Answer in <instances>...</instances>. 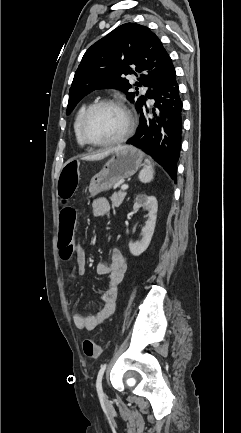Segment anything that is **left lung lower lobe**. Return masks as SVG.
<instances>
[{
	"label": "left lung lower lobe",
	"instance_id": "obj_1",
	"mask_svg": "<svg viewBox=\"0 0 241 433\" xmlns=\"http://www.w3.org/2000/svg\"><path fill=\"white\" fill-rule=\"evenodd\" d=\"M149 99L154 105H145L139 114L136 134L127 144L141 148L177 180V161L181 150L182 101L171 64Z\"/></svg>",
	"mask_w": 241,
	"mask_h": 433
}]
</instances>
